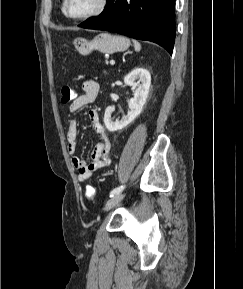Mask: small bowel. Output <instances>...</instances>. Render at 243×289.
<instances>
[{"label": "small bowel", "instance_id": "small-bowel-1", "mask_svg": "<svg viewBox=\"0 0 243 289\" xmlns=\"http://www.w3.org/2000/svg\"><path fill=\"white\" fill-rule=\"evenodd\" d=\"M84 93L75 97L69 106V112L75 113L81 108L93 103L99 93V85L93 80H86L83 83ZM92 129L99 135V143L95 145L91 152V162L87 163L80 157L73 156L71 159L73 167L78 172V179L86 181L91 175L111 163L110 158V140L106 129L101 124L99 114L95 109H90L88 112ZM77 137H78V123L75 118L69 121L67 130V150L68 153L73 155L77 150Z\"/></svg>", "mask_w": 243, "mask_h": 289}]
</instances>
